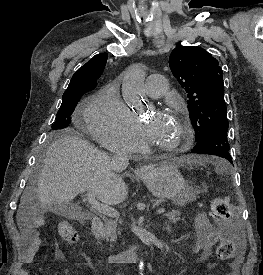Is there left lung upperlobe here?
Listing matches in <instances>:
<instances>
[{"mask_svg":"<svg viewBox=\"0 0 263 275\" xmlns=\"http://www.w3.org/2000/svg\"><path fill=\"white\" fill-rule=\"evenodd\" d=\"M169 66L187 93L196 142L220 128H228L222 70L218 61L203 48L179 45L170 55Z\"/></svg>","mask_w":263,"mask_h":275,"instance_id":"obj_1","label":"left lung upper lobe"}]
</instances>
